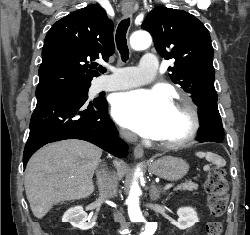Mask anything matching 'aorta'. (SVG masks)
<instances>
[{"label": "aorta", "instance_id": "obj_1", "mask_svg": "<svg viewBox=\"0 0 250 235\" xmlns=\"http://www.w3.org/2000/svg\"><path fill=\"white\" fill-rule=\"evenodd\" d=\"M151 43L152 38L150 34L146 31L135 32L130 37L131 47L135 50L146 49L151 45ZM139 175H141V172L139 169H137V171L135 172V176L137 177ZM140 194V187L135 181L131 186L129 196L127 198L128 214L132 222H145V219L139 207ZM156 229L157 222H147L140 235H153L156 232Z\"/></svg>", "mask_w": 250, "mask_h": 235}]
</instances>
